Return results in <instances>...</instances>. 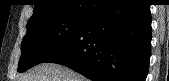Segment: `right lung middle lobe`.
Returning <instances> with one entry per match:
<instances>
[{"instance_id": "dd1d6c3e", "label": "right lung middle lobe", "mask_w": 169, "mask_h": 81, "mask_svg": "<svg viewBox=\"0 0 169 81\" xmlns=\"http://www.w3.org/2000/svg\"><path fill=\"white\" fill-rule=\"evenodd\" d=\"M89 17L50 16L27 24L18 71L24 72L42 63L66 45L84 26Z\"/></svg>"}]
</instances>
